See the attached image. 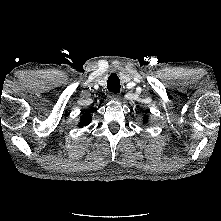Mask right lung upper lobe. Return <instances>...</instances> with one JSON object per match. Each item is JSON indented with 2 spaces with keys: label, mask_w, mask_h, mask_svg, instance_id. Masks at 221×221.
Returning a JSON list of instances; mask_svg holds the SVG:
<instances>
[{
  "label": "right lung upper lobe",
  "mask_w": 221,
  "mask_h": 221,
  "mask_svg": "<svg viewBox=\"0 0 221 221\" xmlns=\"http://www.w3.org/2000/svg\"><path fill=\"white\" fill-rule=\"evenodd\" d=\"M91 120L92 117L88 113L83 114L79 122V127L88 125L91 122Z\"/></svg>",
  "instance_id": "obj_1"
}]
</instances>
